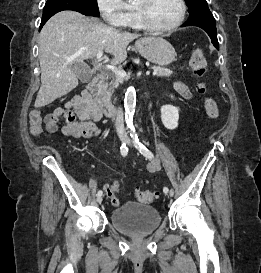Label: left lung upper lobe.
Returning a JSON list of instances; mask_svg holds the SVG:
<instances>
[{"label":"left lung upper lobe","mask_w":261,"mask_h":273,"mask_svg":"<svg viewBox=\"0 0 261 273\" xmlns=\"http://www.w3.org/2000/svg\"><path fill=\"white\" fill-rule=\"evenodd\" d=\"M188 8H189V14H192L193 12L208 7L206 0H185Z\"/></svg>","instance_id":"obj_1"}]
</instances>
